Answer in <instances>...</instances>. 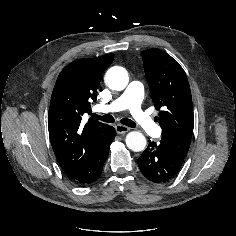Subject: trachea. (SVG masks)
<instances>
[{
    "label": "trachea",
    "mask_w": 236,
    "mask_h": 236,
    "mask_svg": "<svg viewBox=\"0 0 236 236\" xmlns=\"http://www.w3.org/2000/svg\"><path fill=\"white\" fill-rule=\"evenodd\" d=\"M91 118L98 119V120H101L106 123H114L115 122L114 117L109 114L103 115V116H100L97 114H91ZM120 122L128 127H133V128L136 127V124L130 119H121Z\"/></svg>",
    "instance_id": "trachea-1"
}]
</instances>
